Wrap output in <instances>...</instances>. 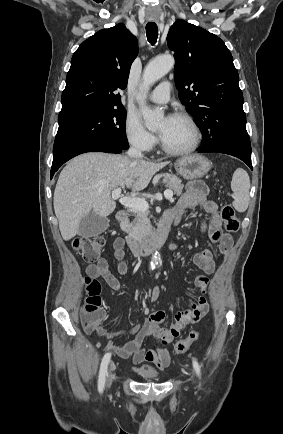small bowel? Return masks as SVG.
<instances>
[{
	"instance_id": "small-bowel-1",
	"label": "small bowel",
	"mask_w": 283,
	"mask_h": 434,
	"mask_svg": "<svg viewBox=\"0 0 283 434\" xmlns=\"http://www.w3.org/2000/svg\"><path fill=\"white\" fill-rule=\"evenodd\" d=\"M195 206L201 207L205 213V218L201 224L202 232L208 234L211 242L221 253L229 251L233 244V238L222 230L218 206L214 201L208 199L207 187L202 182L189 183L179 201L165 213L163 220L169 221L171 225L178 224L182 216ZM124 245L123 238L118 237L114 240V257L118 261L117 271L120 275H125L128 271L127 263L124 260ZM171 248L176 249V245L173 244ZM193 260L205 274L214 272L215 257L212 250L205 249L195 254ZM86 272L89 277L102 278L114 290L121 288L119 280L109 270L108 261L103 257L99 258L96 263L89 265ZM208 284L209 280L206 276L201 275L195 279V287L200 291V296L197 300L192 301L188 308L177 312L174 316V322L169 327L163 325L165 313L157 311L150 314L143 324L134 326L129 330L118 331L110 328L109 331H106L103 327H98L93 332L108 339L130 336L131 339L123 345L114 347L109 344L107 349L113 350L122 359L132 357L136 371L145 368L147 366L144 364L145 362L152 363L159 369H164L170 363V355L166 346L180 334L185 325L198 322L208 313L209 305L205 298ZM159 293L158 288L153 290L151 294L153 302L158 299ZM149 336L157 338L158 348L156 350L145 349L144 343Z\"/></svg>"
}]
</instances>
